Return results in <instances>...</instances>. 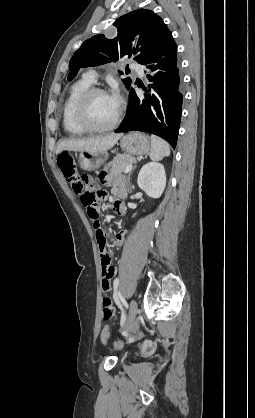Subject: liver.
I'll return each instance as SVG.
<instances>
[{
    "mask_svg": "<svg viewBox=\"0 0 255 418\" xmlns=\"http://www.w3.org/2000/svg\"><path fill=\"white\" fill-rule=\"evenodd\" d=\"M122 136V133H111L109 135L96 138L64 140L58 144L56 154H59L64 150L89 153L106 152L111 149Z\"/></svg>",
    "mask_w": 255,
    "mask_h": 418,
    "instance_id": "obj_1",
    "label": "liver"
}]
</instances>
